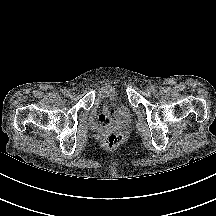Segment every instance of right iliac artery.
<instances>
[{"instance_id": "82829eb1", "label": "right iliac artery", "mask_w": 216, "mask_h": 216, "mask_svg": "<svg viewBox=\"0 0 216 216\" xmlns=\"http://www.w3.org/2000/svg\"><path fill=\"white\" fill-rule=\"evenodd\" d=\"M64 94H65L66 96H69V95H70V92H69L68 90H65V91H64Z\"/></svg>"}]
</instances>
